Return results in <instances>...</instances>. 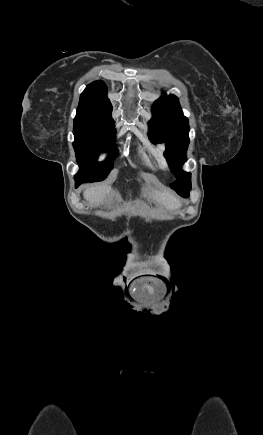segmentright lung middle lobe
Listing matches in <instances>:
<instances>
[{
  "instance_id": "right-lung-middle-lobe-1",
  "label": "right lung middle lobe",
  "mask_w": 263,
  "mask_h": 435,
  "mask_svg": "<svg viewBox=\"0 0 263 435\" xmlns=\"http://www.w3.org/2000/svg\"><path fill=\"white\" fill-rule=\"evenodd\" d=\"M74 136L73 146L80 166L75 181L84 183L104 180L113 168V159L117 154L113 150L102 163H97V158L100 151H106L109 144L114 142L113 128L74 121Z\"/></svg>"
}]
</instances>
